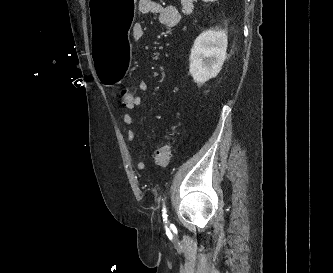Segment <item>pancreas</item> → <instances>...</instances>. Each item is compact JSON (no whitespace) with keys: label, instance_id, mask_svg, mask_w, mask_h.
I'll use <instances>...</instances> for the list:
<instances>
[{"label":"pancreas","instance_id":"obj_1","mask_svg":"<svg viewBox=\"0 0 333 273\" xmlns=\"http://www.w3.org/2000/svg\"><path fill=\"white\" fill-rule=\"evenodd\" d=\"M193 2L194 0H181L183 14L190 15L192 13L194 7Z\"/></svg>","mask_w":333,"mask_h":273}]
</instances>
